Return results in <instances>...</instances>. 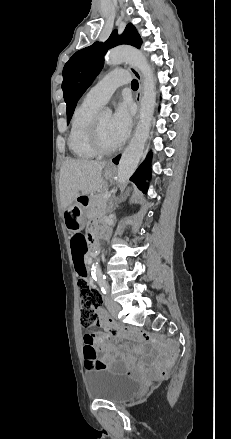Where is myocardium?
<instances>
[{"instance_id": "f54148a6", "label": "myocardium", "mask_w": 231, "mask_h": 439, "mask_svg": "<svg viewBox=\"0 0 231 439\" xmlns=\"http://www.w3.org/2000/svg\"><path fill=\"white\" fill-rule=\"evenodd\" d=\"M89 138H90L91 145L97 154L109 155V154L116 152L119 149V145H116L114 147H106L102 143L97 114L94 115V117L91 121Z\"/></svg>"}]
</instances>
